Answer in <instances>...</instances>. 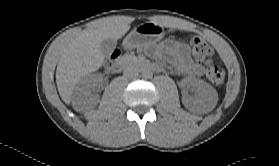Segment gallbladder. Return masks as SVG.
Segmentation results:
<instances>
[{"label":"gallbladder","instance_id":"bac80fb5","mask_svg":"<svg viewBox=\"0 0 279 166\" xmlns=\"http://www.w3.org/2000/svg\"><path fill=\"white\" fill-rule=\"evenodd\" d=\"M117 41L113 38H107L101 42V50L105 57H108L116 48Z\"/></svg>","mask_w":279,"mask_h":166}]
</instances>
